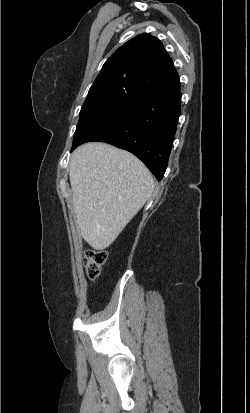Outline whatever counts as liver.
<instances>
[{"label": "liver", "mask_w": 250, "mask_h": 413, "mask_svg": "<svg viewBox=\"0 0 250 413\" xmlns=\"http://www.w3.org/2000/svg\"><path fill=\"white\" fill-rule=\"evenodd\" d=\"M69 177L78 230L95 250L114 242L154 189L151 173L138 158L100 142L72 153Z\"/></svg>", "instance_id": "1"}]
</instances>
